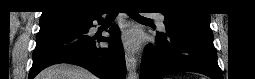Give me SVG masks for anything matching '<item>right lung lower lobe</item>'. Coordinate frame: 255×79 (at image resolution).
<instances>
[{
	"label": "right lung lower lobe",
	"mask_w": 255,
	"mask_h": 79,
	"mask_svg": "<svg viewBox=\"0 0 255 79\" xmlns=\"http://www.w3.org/2000/svg\"><path fill=\"white\" fill-rule=\"evenodd\" d=\"M94 20L102 21L98 15L81 20L74 26L39 31L28 78L33 79L50 65L70 63L85 67L102 79H124L125 57L118 38V28L112 27L109 30L112 42L108 48H101L98 42L107 41V38L87 35Z\"/></svg>",
	"instance_id": "obj_1"
}]
</instances>
